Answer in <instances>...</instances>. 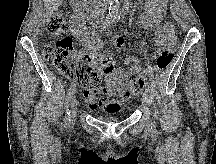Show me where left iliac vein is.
<instances>
[{
    "label": "left iliac vein",
    "instance_id": "obj_1",
    "mask_svg": "<svg viewBox=\"0 0 216 164\" xmlns=\"http://www.w3.org/2000/svg\"><path fill=\"white\" fill-rule=\"evenodd\" d=\"M148 92H149L148 90H145V92L142 95V105L144 109H147L149 105V93ZM147 126L148 127L151 126L150 120L147 121Z\"/></svg>",
    "mask_w": 216,
    "mask_h": 164
}]
</instances>
